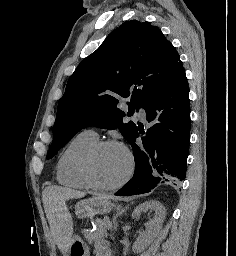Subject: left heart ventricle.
Masks as SVG:
<instances>
[{
    "instance_id": "b2bd125f",
    "label": "left heart ventricle",
    "mask_w": 236,
    "mask_h": 256,
    "mask_svg": "<svg viewBox=\"0 0 236 256\" xmlns=\"http://www.w3.org/2000/svg\"><path fill=\"white\" fill-rule=\"evenodd\" d=\"M127 157L119 147H109L96 156L93 176L101 186H111L119 182L127 171Z\"/></svg>"
}]
</instances>
